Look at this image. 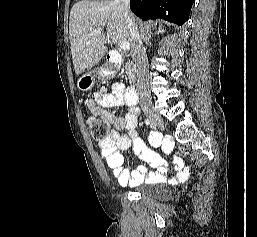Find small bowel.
I'll return each instance as SVG.
<instances>
[{
	"instance_id": "obj_1",
	"label": "small bowel",
	"mask_w": 257,
	"mask_h": 237,
	"mask_svg": "<svg viewBox=\"0 0 257 237\" xmlns=\"http://www.w3.org/2000/svg\"><path fill=\"white\" fill-rule=\"evenodd\" d=\"M124 105L127 106L124 116H117L110 111L112 108ZM87 107L93 115L99 116L113 125L111 135L105 141L100 142L99 147L108 168L121 186H133L141 183H177L188 177L190 170L183 167L181 159L175 160L176 173L171 174L165 159L155 150L148 148L137 137L136 126L140 110L128 103L122 83H114L110 91L101 88L87 101ZM149 141L155 146L161 142V137L152 134ZM131 146L142 160L155 168L154 172H148L144 166H138L133 171L124 168L121 151L129 149ZM164 150H170L169 144L164 145Z\"/></svg>"
}]
</instances>
